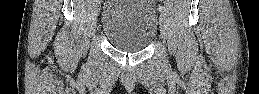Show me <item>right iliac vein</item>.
Listing matches in <instances>:
<instances>
[{
  "mask_svg": "<svg viewBox=\"0 0 259 94\" xmlns=\"http://www.w3.org/2000/svg\"><path fill=\"white\" fill-rule=\"evenodd\" d=\"M99 3L96 4V16H98V12H99Z\"/></svg>",
  "mask_w": 259,
  "mask_h": 94,
  "instance_id": "1",
  "label": "right iliac vein"
}]
</instances>
